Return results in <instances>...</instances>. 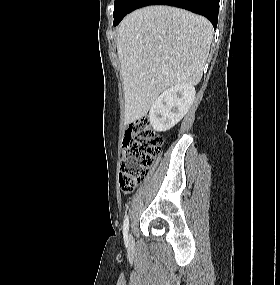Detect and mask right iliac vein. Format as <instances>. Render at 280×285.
I'll return each instance as SVG.
<instances>
[{
    "label": "right iliac vein",
    "instance_id": "63e3f726",
    "mask_svg": "<svg viewBox=\"0 0 280 285\" xmlns=\"http://www.w3.org/2000/svg\"><path fill=\"white\" fill-rule=\"evenodd\" d=\"M128 243H129V245H131V243H132V238L129 236V239H128Z\"/></svg>",
    "mask_w": 280,
    "mask_h": 285
}]
</instances>
